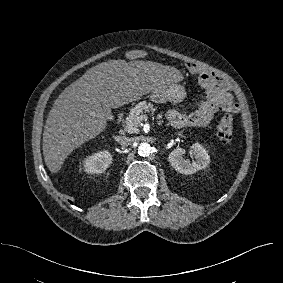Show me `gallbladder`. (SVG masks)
<instances>
[{"label":"gallbladder","instance_id":"obj_1","mask_svg":"<svg viewBox=\"0 0 283 283\" xmlns=\"http://www.w3.org/2000/svg\"><path fill=\"white\" fill-rule=\"evenodd\" d=\"M105 112H106V116L109 118L111 116V111L109 110V108H104Z\"/></svg>","mask_w":283,"mask_h":283}]
</instances>
